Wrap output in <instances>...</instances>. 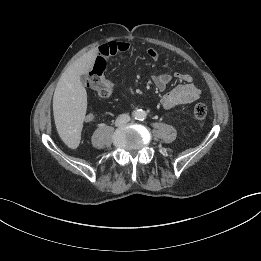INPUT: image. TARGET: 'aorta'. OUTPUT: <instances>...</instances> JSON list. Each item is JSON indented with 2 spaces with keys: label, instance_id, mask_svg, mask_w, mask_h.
<instances>
[{
  "label": "aorta",
  "instance_id": "obj_1",
  "mask_svg": "<svg viewBox=\"0 0 261 261\" xmlns=\"http://www.w3.org/2000/svg\"><path fill=\"white\" fill-rule=\"evenodd\" d=\"M135 117L138 119V120H143L146 118V112L143 111V110H138L136 111L135 113Z\"/></svg>",
  "mask_w": 261,
  "mask_h": 261
}]
</instances>
